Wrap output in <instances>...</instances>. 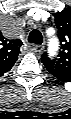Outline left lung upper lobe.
I'll list each match as a JSON object with an SVG mask.
<instances>
[{"label": "left lung upper lobe", "instance_id": "obj_1", "mask_svg": "<svg viewBox=\"0 0 71 119\" xmlns=\"http://www.w3.org/2000/svg\"><path fill=\"white\" fill-rule=\"evenodd\" d=\"M61 51L57 58L51 59L44 53L41 60L46 68L57 69L71 73V8H65L61 12L53 13Z\"/></svg>", "mask_w": 71, "mask_h": 119}]
</instances>
